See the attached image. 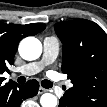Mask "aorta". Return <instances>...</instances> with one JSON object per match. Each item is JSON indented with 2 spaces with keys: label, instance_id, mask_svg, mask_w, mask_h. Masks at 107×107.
<instances>
[{
  "label": "aorta",
  "instance_id": "762f6f07",
  "mask_svg": "<svg viewBox=\"0 0 107 107\" xmlns=\"http://www.w3.org/2000/svg\"><path fill=\"white\" fill-rule=\"evenodd\" d=\"M19 53L25 60H36L42 53V44L35 37H27L20 42ZM40 104L42 107H56L58 100L55 95L45 93L40 98Z\"/></svg>",
  "mask_w": 107,
  "mask_h": 107
}]
</instances>
